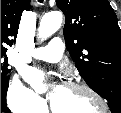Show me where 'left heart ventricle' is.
Masks as SVG:
<instances>
[{"mask_svg": "<svg viewBox=\"0 0 121 113\" xmlns=\"http://www.w3.org/2000/svg\"><path fill=\"white\" fill-rule=\"evenodd\" d=\"M51 102L59 113L95 112L102 110L98 101L88 93L76 91L64 86H57L53 90Z\"/></svg>", "mask_w": 121, "mask_h": 113, "instance_id": "obj_1", "label": "left heart ventricle"}]
</instances>
